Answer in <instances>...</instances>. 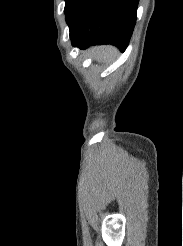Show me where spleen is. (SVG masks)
<instances>
[{"label":"spleen","instance_id":"3e777b00","mask_svg":"<svg viewBox=\"0 0 183 246\" xmlns=\"http://www.w3.org/2000/svg\"><path fill=\"white\" fill-rule=\"evenodd\" d=\"M116 50L112 47H105L102 49L101 55L106 58V57H112L115 56Z\"/></svg>","mask_w":183,"mask_h":246}]
</instances>
